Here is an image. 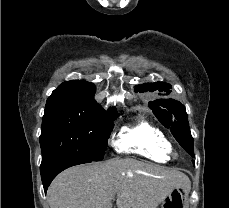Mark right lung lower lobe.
I'll use <instances>...</instances> for the list:
<instances>
[{
	"label": "right lung lower lobe",
	"instance_id": "right-lung-lower-lobe-1",
	"mask_svg": "<svg viewBox=\"0 0 229 208\" xmlns=\"http://www.w3.org/2000/svg\"><path fill=\"white\" fill-rule=\"evenodd\" d=\"M92 162V160L84 159V158H79V157H62L57 160H55L52 164L49 166L40 169L41 172V178H42V183L45 192L47 191L48 186L50 185L51 181L63 170L83 164V163H89Z\"/></svg>",
	"mask_w": 229,
	"mask_h": 208
}]
</instances>
